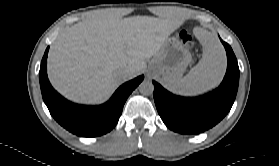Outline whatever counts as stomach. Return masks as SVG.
Masks as SVG:
<instances>
[{
	"label": "stomach",
	"mask_w": 279,
	"mask_h": 166,
	"mask_svg": "<svg viewBox=\"0 0 279 166\" xmlns=\"http://www.w3.org/2000/svg\"><path fill=\"white\" fill-rule=\"evenodd\" d=\"M189 50L177 38H168L150 62V68L164 83L182 77L191 62Z\"/></svg>",
	"instance_id": "1"
}]
</instances>
